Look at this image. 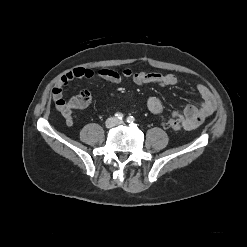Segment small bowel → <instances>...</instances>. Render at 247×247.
Listing matches in <instances>:
<instances>
[{
  "mask_svg": "<svg viewBox=\"0 0 247 247\" xmlns=\"http://www.w3.org/2000/svg\"><path fill=\"white\" fill-rule=\"evenodd\" d=\"M98 76L101 79L113 84H120L123 80L129 79L134 84L141 86L144 84H155L159 86L175 85L177 78L173 74H162L157 72H134L126 68L122 72L111 69H100L95 72L89 68H75L63 75L56 83L52 90V97L57 110L61 113L67 125H72L74 116L72 113L73 105L66 102L63 98L64 88L69 82L75 79L92 78ZM197 91L200 94L201 101L198 106L187 105L182 112L173 111L171 114L178 119L182 126L187 130L197 128L206 117L210 116L216 109V102L212 92L203 84L197 85ZM147 107L153 114L163 112V104L158 97H150L147 100Z\"/></svg>",
  "mask_w": 247,
  "mask_h": 247,
  "instance_id": "1",
  "label": "small bowel"
}]
</instances>
